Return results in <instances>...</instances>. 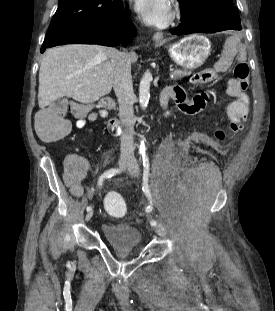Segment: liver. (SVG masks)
I'll use <instances>...</instances> for the list:
<instances>
[{
    "label": "liver",
    "instance_id": "6515ba94",
    "mask_svg": "<svg viewBox=\"0 0 275 311\" xmlns=\"http://www.w3.org/2000/svg\"><path fill=\"white\" fill-rule=\"evenodd\" d=\"M110 47L71 44L48 49L39 70L38 104L41 109L66 96L91 104L110 93L113 85ZM130 62L138 56L129 53Z\"/></svg>",
    "mask_w": 275,
    "mask_h": 311
}]
</instances>
